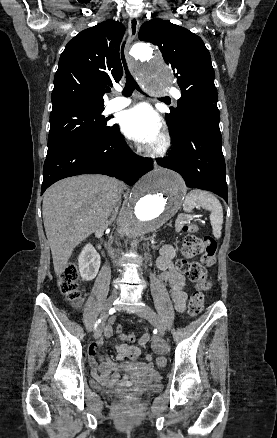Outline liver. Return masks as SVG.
<instances>
[{
	"instance_id": "obj_1",
	"label": "liver",
	"mask_w": 277,
	"mask_h": 438,
	"mask_svg": "<svg viewBox=\"0 0 277 438\" xmlns=\"http://www.w3.org/2000/svg\"><path fill=\"white\" fill-rule=\"evenodd\" d=\"M124 184L108 176H73L60 180L43 196V222L54 272L63 274L71 254L85 238L111 224L121 204Z\"/></svg>"
}]
</instances>
